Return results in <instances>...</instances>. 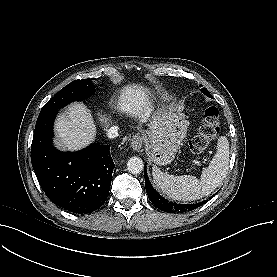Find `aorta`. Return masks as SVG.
I'll use <instances>...</instances> for the list:
<instances>
[{
	"label": "aorta",
	"mask_w": 277,
	"mask_h": 277,
	"mask_svg": "<svg viewBox=\"0 0 277 277\" xmlns=\"http://www.w3.org/2000/svg\"><path fill=\"white\" fill-rule=\"evenodd\" d=\"M144 169L143 160L139 157H131L127 162V170L132 174H140Z\"/></svg>",
	"instance_id": "1"
}]
</instances>
